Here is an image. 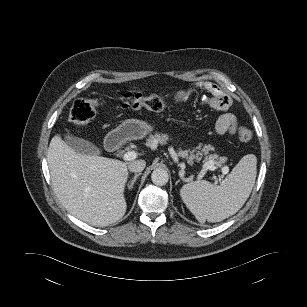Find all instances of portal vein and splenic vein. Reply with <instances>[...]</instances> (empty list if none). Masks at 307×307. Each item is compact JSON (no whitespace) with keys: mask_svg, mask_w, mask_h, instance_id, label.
<instances>
[{"mask_svg":"<svg viewBox=\"0 0 307 307\" xmlns=\"http://www.w3.org/2000/svg\"><path fill=\"white\" fill-rule=\"evenodd\" d=\"M137 154L134 151H128L123 155V159L126 161H131L134 160L136 158ZM216 169V167L214 166L213 162H209V163H205L202 167V171L203 172H207L208 170L214 171ZM229 168L227 166H224L222 168V172L224 174L228 173Z\"/></svg>","mask_w":307,"mask_h":307,"instance_id":"18ae733b","label":"portal vein and splenic vein"}]
</instances>
